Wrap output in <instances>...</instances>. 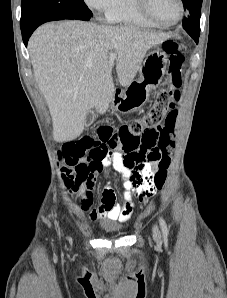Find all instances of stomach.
I'll use <instances>...</instances> for the list:
<instances>
[{"mask_svg": "<svg viewBox=\"0 0 227 298\" xmlns=\"http://www.w3.org/2000/svg\"><path fill=\"white\" fill-rule=\"evenodd\" d=\"M167 59L163 52L154 49L147 54L139 69V78L125 89L114 91L111 107L120 114H130L139 110L147 102L165 74Z\"/></svg>", "mask_w": 227, "mask_h": 298, "instance_id": "obj_1", "label": "stomach"}]
</instances>
